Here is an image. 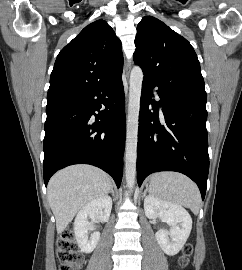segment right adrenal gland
Listing matches in <instances>:
<instances>
[{"label": "right adrenal gland", "instance_id": "obj_1", "mask_svg": "<svg viewBox=\"0 0 242 270\" xmlns=\"http://www.w3.org/2000/svg\"><path fill=\"white\" fill-rule=\"evenodd\" d=\"M109 192H110L112 195H114V190H113V188H111Z\"/></svg>", "mask_w": 242, "mask_h": 270}]
</instances>
